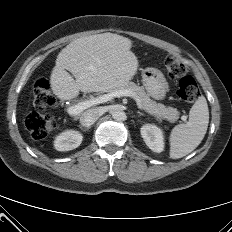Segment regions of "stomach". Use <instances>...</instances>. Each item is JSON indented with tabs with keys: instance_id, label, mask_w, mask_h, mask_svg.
<instances>
[{
	"instance_id": "stomach-1",
	"label": "stomach",
	"mask_w": 232,
	"mask_h": 232,
	"mask_svg": "<svg viewBox=\"0 0 232 232\" xmlns=\"http://www.w3.org/2000/svg\"><path fill=\"white\" fill-rule=\"evenodd\" d=\"M143 85L148 95L154 99H163L168 89L164 75L158 70H146L143 73Z\"/></svg>"
}]
</instances>
